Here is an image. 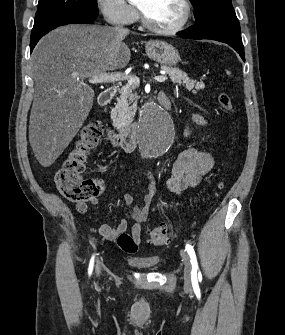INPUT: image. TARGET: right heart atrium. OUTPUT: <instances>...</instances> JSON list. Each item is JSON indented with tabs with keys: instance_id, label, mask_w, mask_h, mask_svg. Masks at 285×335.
<instances>
[{
	"instance_id": "d8ad5b80",
	"label": "right heart atrium",
	"mask_w": 285,
	"mask_h": 335,
	"mask_svg": "<svg viewBox=\"0 0 285 335\" xmlns=\"http://www.w3.org/2000/svg\"><path fill=\"white\" fill-rule=\"evenodd\" d=\"M102 14L113 26L131 25L138 19L134 1H101Z\"/></svg>"
}]
</instances>
